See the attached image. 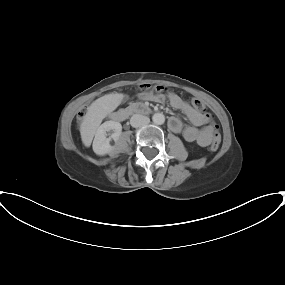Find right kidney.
I'll use <instances>...</instances> for the list:
<instances>
[{
    "mask_svg": "<svg viewBox=\"0 0 285 285\" xmlns=\"http://www.w3.org/2000/svg\"><path fill=\"white\" fill-rule=\"evenodd\" d=\"M113 131L112 135L107 138V132ZM122 133V125L115 121L104 122L96 131L93 141V151L100 156L111 154L114 147L110 145L111 139L117 141Z\"/></svg>",
    "mask_w": 285,
    "mask_h": 285,
    "instance_id": "1",
    "label": "right kidney"
}]
</instances>
